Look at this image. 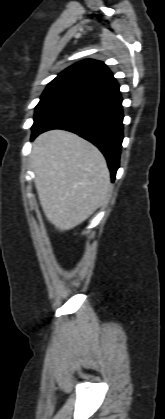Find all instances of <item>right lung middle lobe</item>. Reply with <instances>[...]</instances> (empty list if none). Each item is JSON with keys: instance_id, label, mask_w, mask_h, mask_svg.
Listing matches in <instances>:
<instances>
[{"instance_id": "1", "label": "right lung middle lobe", "mask_w": 165, "mask_h": 419, "mask_svg": "<svg viewBox=\"0 0 165 419\" xmlns=\"http://www.w3.org/2000/svg\"><path fill=\"white\" fill-rule=\"evenodd\" d=\"M81 96L83 95L71 90L46 88L40 98V102L35 108L34 124L32 126V130L40 125L48 115Z\"/></svg>"}]
</instances>
